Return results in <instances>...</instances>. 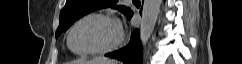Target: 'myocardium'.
<instances>
[{"mask_svg":"<svg viewBox=\"0 0 242 64\" xmlns=\"http://www.w3.org/2000/svg\"><path fill=\"white\" fill-rule=\"evenodd\" d=\"M91 18H101V19H105V20L112 22L117 28L118 36L114 42H112L111 44H109L107 46H104L101 48H96V49H91V50H86V51H82V52L75 51L71 45L72 34L79 24H81L83 21L91 19ZM123 41H124V32H123V28L121 26L120 21L115 16L108 14V13H102V12H93V13H89V14H86V15L80 17L78 20H76L74 22V24L70 28L69 33L67 35L68 48L74 54H76L78 56H88V55L109 53V52L117 49L123 43Z\"/></svg>","mask_w":242,"mask_h":64,"instance_id":"obj_1","label":"myocardium"}]
</instances>
